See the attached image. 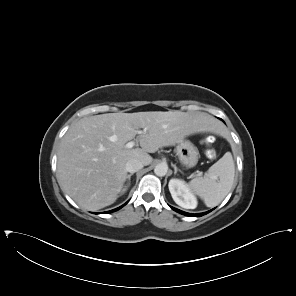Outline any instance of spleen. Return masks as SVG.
Segmentation results:
<instances>
[{
	"label": "spleen",
	"mask_w": 296,
	"mask_h": 296,
	"mask_svg": "<svg viewBox=\"0 0 296 296\" xmlns=\"http://www.w3.org/2000/svg\"><path fill=\"white\" fill-rule=\"evenodd\" d=\"M235 164L230 152L214 163L204 175L189 182L190 189L204 200L207 207L217 206L229 193L234 180Z\"/></svg>",
	"instance_id": "spleen-1"
}]
</instances>
